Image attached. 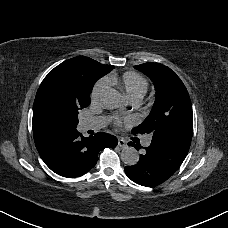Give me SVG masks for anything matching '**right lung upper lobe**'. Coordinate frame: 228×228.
Segmentation results:
<instances>
[{"instance_id": "cb5924a9", "label": "right lung upper lobe", "mask_w": 228, "mask_h": 228, "mask_svg": "<svg viewBox=\"0 0 228 228\" xmlns=\"http://www.w3.org/2000/svg\"><path fill=\"white\" fill-rule=\"evenodd\" d=\"M114 66L103 65L88 57H74L69 59L49 72V76L57 77L69 85L79 89H92L94 83L109 73ZM46 132L35 121H33V133Z\"/></svg>"}]
</instances>
